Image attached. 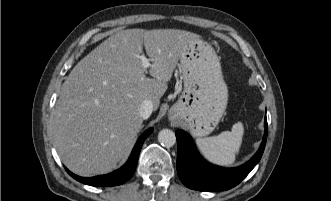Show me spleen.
<instances>
[{
  "instance_id": "1",
  "label": "spleen",
  "mask_w": 331,
  "mask_h": 201,
  "mask_svg": "<svg viewBox=\"0 0 331 201\" xmlns=\"http://www.w3.org/2000/svg\"><path fill=\"white\" fill-rule=\"evenodd\" d=\"M244 127L235 123L231 131H224L217 136L198 138L196 144L203 156L210 162L228 166L234 163L242 144Z\"/></svg>"
}]
</instances>
